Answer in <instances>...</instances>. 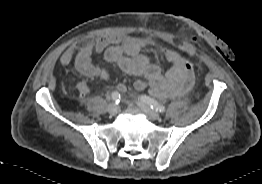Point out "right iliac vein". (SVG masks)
Instances as JSON below:
<instances>
[{
    "instance_id": "63e3f726",
    "label": "right iliac vein",
    "mask_w": 262,
    "mask_h": 184,
    "mask_svg": "<svg viewBox=\"0 0 262 184\" xmlns=\"http://www.w3.org/2000/svg\"><path fill=\"white\" fill-rule=\"evenodd\" d=\"M107 110L110 115H115L118 111V107L115 103H112L108 106Z\"/></svg>"
}]
</instances>
